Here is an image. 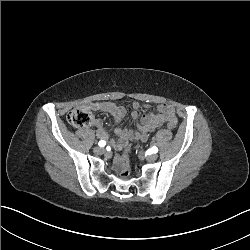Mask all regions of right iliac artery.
I'll use <instances>...</instances> for the list:
<instances>
[{"label":"right iliac artery","instance_id":"right-iliac-artery-1","mask_svg":"<svg viewBox=\"0 0 250 250\" xmlns=\"http://www.w3.org/2000/svg\"><path fill=\"white\" fill-rule=\"evenodd\" d=\"M98 145L100 147H104L106 145V142L104 140L99 141Z\"/></svg>","mask_w":250,"mask_h":250}]
</instances>
